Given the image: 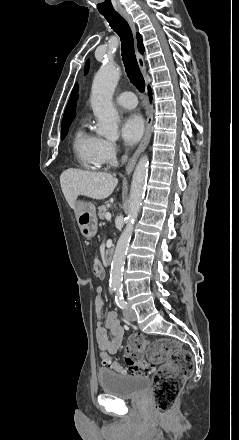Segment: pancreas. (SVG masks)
I'll return each instance as SVG.
<instances>
[{
    "label": "pancreas",
    "mask_w": 239,
    "mask_h": 440,
    "mask_svg": "<svg viewBox=\"0 0 239 440\" xmlns=\"http://www.w3.org/2000/svg\"><path fill=\"white\" fill-rule=\"evenodd\" d=\"M106 212H107V206H99V208H98V218H100V220H105Z\"/></svg>",
    "instance_id": "1"
}]
</instances>
